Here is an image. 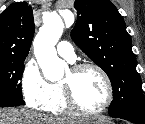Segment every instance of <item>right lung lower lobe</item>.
<instances>
[{"label": "right lung lower lobe", "instance_id": "1", "mask_svg": "<svg viewBox=\"0 0 145 124\" xmlns=\"http://www.w3.org/2000/svg\"><path fill=\"white\" fill-rule=\"evenodd\" d=\"M24 105L22 98L0 99V107H13Z\"/></svg>", "mask_w": 145, "mask_h": 124}]
</instances>
